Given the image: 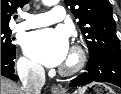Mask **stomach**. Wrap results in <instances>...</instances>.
I'll return each mask as SVG.
<instances>
[{"mask_svg": "<svg viewBox=\"0 0 121 94\" xmlns=\"http://www.w3.org/2000/svg\"><path fill=\"white\" fill-rule=\"evenodd\" d=\"M75 94H115V92L103 83H92L79 89Z\"/></svg>", "mask_w": 121, "mask_h": 94, "instance_id": "stomach-1", "label": "stomach"}]
</instances>
